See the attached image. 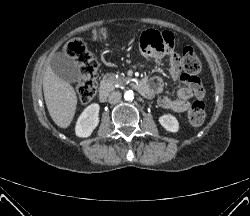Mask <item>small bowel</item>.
Here are the masks:
<instances>
[{"label":"small bowel","instance_id":"small-bowel-1","mask_svg":"<svg viewBox=\"0 0 250 216\" xmlns=\"http://www.w3.org/2000/svg\"><path fill=\"white\" fill-rule=\"evenodd\" d=\"M140 47L145 56L149 58H160L162 53H171L174 47V36L170 32H158L149 30L142 34ZM169 73L174 80L179 81V88L174 98L163 95L164 84L160 77H153L149 81L152 95H158V105L176 113L185 112L191 106L193 99H202L204 90L198 77L187 76L183 73L179 58L172 56L169 63Z\"/></svg>","mask_w":250,"mask_h":216}]
</instances>
